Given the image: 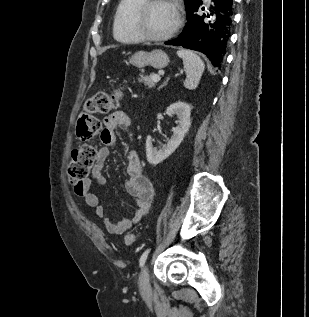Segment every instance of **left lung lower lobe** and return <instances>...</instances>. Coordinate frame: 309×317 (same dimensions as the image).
<instances>
[{
    "instance_id": "1",
    "label": "left lung lower lobe",
    "mask_w": 309,
    "mask_h": 317,
    "mask_svg": "<svg viewBox=\"0 0 309 317\" xmlns=\"http://www.w3.org/2000/svg\"><path fill=\"white\" fill-rule=\"evenodd\" d=\"M202 11V1L187 10V23L182 33L165 44L202 52L213 66L220 68L229 45L234 0H210L209 8Z\"/></svg>"
}]
</instances>
